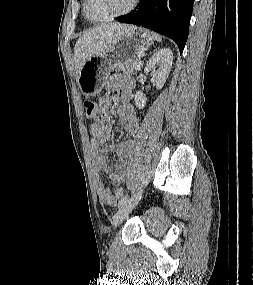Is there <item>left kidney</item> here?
<instances>
[{
	"label": "left kidney",
	"mask_w": 253,
	"mask_h": 285,
	"mask_svg": "<svg viewBox=\"0 0 253 285\" xmlns=\"http://www.w3.org/2000/svg\"><path fill=\"white\" fill-rule=\"evenodd\" d=\"M173 53L169 48H162L154 53V55L149 59L144 72L151 74L155 79V85L157 89H161L166 79L168 78L169 72L172 67ZM156 66L159 67L156 70ZM147 98L142 91H137L134 97L135 106L138 109H143L146 105Z\"/></svg>",
	"instance_id": "1"
}]
</instances>
